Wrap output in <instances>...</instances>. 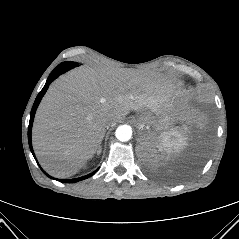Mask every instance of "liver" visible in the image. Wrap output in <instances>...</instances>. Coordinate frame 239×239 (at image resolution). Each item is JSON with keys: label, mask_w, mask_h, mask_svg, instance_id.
Masks as SVG:
<instances>
[{"label": "liver", "mask_w": 239, "mask_h": 239, "mask_svg": "<svg viewBox=\"0 0 239 239\" xmlns=\"http://www.w3.org/2000/svg\"><path fill=\"white\" fill-rule=\"evenodd\" d=\"M178 112L192 118L187 99L172 80L131 69L82 68L53 82L34 119L36 156L49 174L67 178L93 157L105 134V120L121 122L130 110Z\"/></svg>", "instance_id": "liver-1"}]
</instances>
